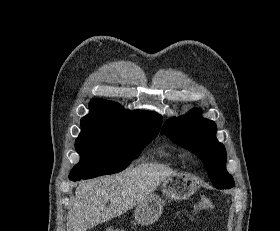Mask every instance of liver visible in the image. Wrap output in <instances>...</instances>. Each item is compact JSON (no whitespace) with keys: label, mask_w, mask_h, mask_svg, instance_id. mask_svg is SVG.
Listing matches in <instances>:
<instances>
[{"label":"liver","mask_w":280,"mask_h":231,"mask_svg":"<svg viewBox=\"0 0 280 231\" xmlns=\"http://www.w3.org/2000/svg\"><path fill=\"white\" fill-rule=\"evenodd\" d=\"M177 171L163 163H141L115 175L78 181L67 221L69 231H86L132 209ZM110 199V205L106 203Z\"/></svg>","instance_id":"1"}]
</instances>
